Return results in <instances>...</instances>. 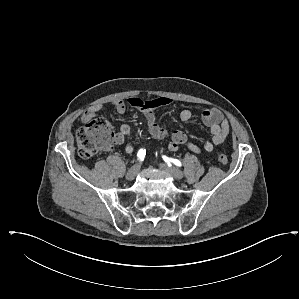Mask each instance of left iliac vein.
I'll return each instance as SVG.
<instances>
[{"mask_svg":"<svg viewBox=\"0 0 299 299\" xmlns=\"http://www.w3.org/2000/svg\"><path fill=\"white\" fill-rule=\"evenodd\" d=\"M161 169L166 171L168 174H170L173 178L180 180L183 178V173L176 167H170L166 164H160L159 165Z\"/></svg>","mask_w":299,"mask_h":299,"instance_id":"obj_1","label":"left iliac vein"}]
</instances>
